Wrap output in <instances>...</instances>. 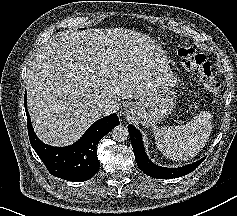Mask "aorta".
<instances>
[{"label": "aorta", "mask_w": 237, "mask_h": 216, "mask_svg": "<svg viewBox=\"0 0 237 216\" xmlns=\"http://www.w3.org/2000/svg\"><path fill=\"white\" fill-rule=\"evenodd\" d=\"M111 136L114 140L118 142H123L127 140L129 136L128 128L125 125H117L112 129Z\"/></svg>", "instance_id": "1"}]
</instances>
